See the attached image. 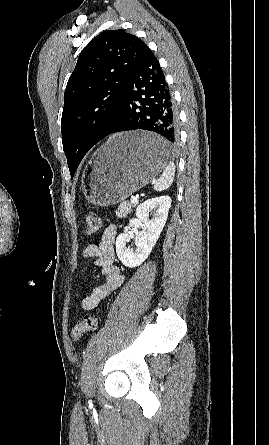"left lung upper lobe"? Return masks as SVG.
Returning <instances> with one entry per match:
<instances>
[{
	"label": "left lung upper lobe",
	"mask_w": 269,
	"mask_h": 445,
	"mask_svg": "<svg viewBox=\"0 0 269 445\" xmlns=\"http://www.w3.org/2000/svg\"><path fill=\"white\" fill-rule=\"evenodd\" d=\"M146 48L138 37L119 29L103 31L80 53L66 86L61 119L71 177L119 117L122 96Z\"/></svg>",
	"instance_id": "5c2ea615"
}]
</instances>
